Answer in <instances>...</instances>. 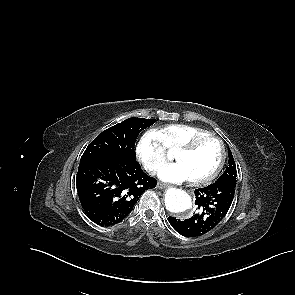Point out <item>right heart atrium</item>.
Masks as SVG:
<instances>
[{"label":"right heart atrium","instance_id":"right-heart-atrium-1","mask_svg":"<svg viewBox=\"0 0 295 295\" xmlns=\"http://www.w3.org/2000/svg\"><path fill=\"white\" fill-rule=\"evenodd\" d=\"M136 155L146 171L152 175L167 161V151L155 131L142 135L136 146Z\"/></svg>","mask_w":295,"mask_h":295}]
</instances>
